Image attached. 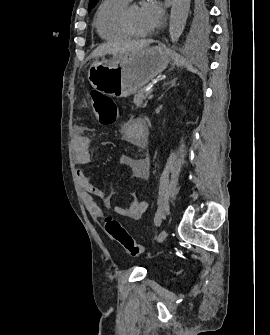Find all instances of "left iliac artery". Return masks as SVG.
I'll list each match as a JSON object with an SVG mask.
<instances>
[{
    "label": "left iliac artery",
    "mask_w": 270,
    "mask_h": 335,
    "mask_svg": "<svg viewBox=\"0 0 270 335\" xmlns=\"http://www.w3.org/2000/svg\"><path fill=\"white\" fill-rule=\"evenodd\" d=\"M161 221H162L161 216H156L155 219H154V222H155L156 226H160Z\"/></svg>",
    "instance_id": "44dca946"
}]
</instances>
